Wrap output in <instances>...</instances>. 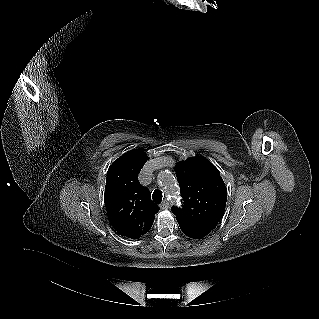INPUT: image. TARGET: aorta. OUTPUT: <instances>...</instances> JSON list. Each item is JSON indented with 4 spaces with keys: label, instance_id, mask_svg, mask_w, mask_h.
Masks as SVG:
<instances>
[{
    "label": "aorta",
    "instance_id": "762f6f07",
    "mask_svg": "<svg viewBox=\"0 0 319 319\" xmlns=\"http://www.w3.org/2000/svg\"><path fill=\"white\" fill-rule=\"evenodd\" d=\"M158 181L163 187H169V185L173 182V176L171 172L163 171L159 173Z\"/></svg>",
    "mask_w": 319,
    "mask_h": 319
}]
</instances>
